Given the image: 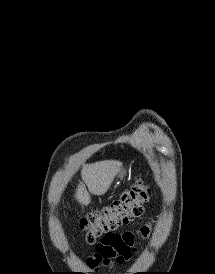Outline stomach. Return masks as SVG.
Returning a JSON list of instances; mask_svg holds the SVG:
<instances>
[{
	"mask_svg": "<svg viewBox=\"0 0 215 274\" xmlns=\"http://www.w3.org/2000/svg\"><path fill=\"white\" fill-rule=\"evenodd\" d=\"M126 175V169L123 167L120 172L117 174V178L122 179Z\"/></svg>",
	"mask_w": 215,
	"mask_h": 274,
	"instance_id": "obj_1",
	"label": "stomach"
}]
</instances>
